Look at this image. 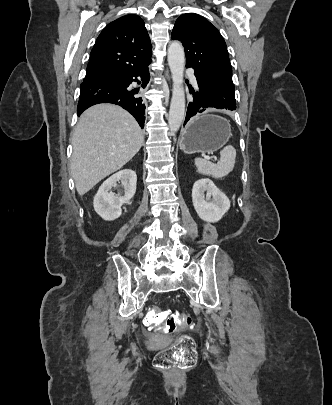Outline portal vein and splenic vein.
<instances>
[{
  "label": "portal vein and splenic vein",
  "mask_w": 332,
  "mask_h": 405,
  "mask_svg": "<svg viewBox=\"0 0 332 405\" xmlns=\"http://www.w3.org/2000/svg\"><path fill=\"white\" fill-rule=\"evenodd\" d=\"M205 159L210 160V159H211V157H205Z\"/></svg>",
  "instance_id": "portal-vein-and-splenic-vein-1"
}]
</instances>
